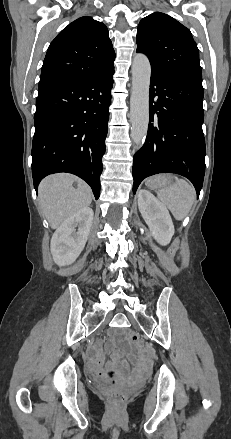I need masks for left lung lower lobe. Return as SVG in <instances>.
<instances>
[{"label": "left lung lower lobe", "instance_id": "left-lung-lower-lobe-1", "mask_svg": "<svg viewBox=\"0 0 231 439\" xmlns=\"http://www.w3.org/2000/svg\"><path fill=\"white\" fill-rule=\"evenodd\" d=\"M149 126L134 155L133 192L148 176L171 172L187 177L197 196L205 173L202 79L152 72Z\"/></svg>", "mask_w": 231, "mask_h": 439}]
</instances>
